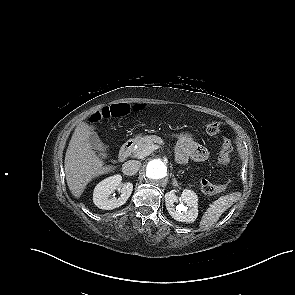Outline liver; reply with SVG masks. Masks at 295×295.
<instances>
[{"label": "liver", "instance_id": "liver-1", "mask_svg": "<svg viewBox=\"0 0 295 295\" xmlns=\"http://www.w3.org/2000/svg\"><path fill=\"white\" fill-rule=\"evenodd\" d=\"M86 128L74 132L65 155V174L68 187L74 197L79 198L87 184L94 178L107 174L115 167L105 165L93 150Z\"/></svg>", "mask_w": 295, "mask_h": 295}]
</instances>
